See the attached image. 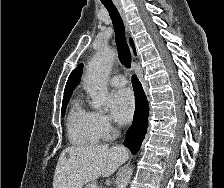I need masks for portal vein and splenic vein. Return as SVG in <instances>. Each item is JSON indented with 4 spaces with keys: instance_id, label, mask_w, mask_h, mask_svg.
<instances>
[{
    "instance_id": "1",
    "label": "portal vein and splenic vein",
    "mask_w": 224,
    "mask_h": 188,
    "mask_svg": "<svg viewBox=\"0 0 224 188\" xmlns=\"http://www.w3.org/2000/svg\"><path fill=\"white\" fill-rule=\"evenodd\" d=\"M91 188H98L96 185H92Z\"/></svg>"
}]
</instances>
